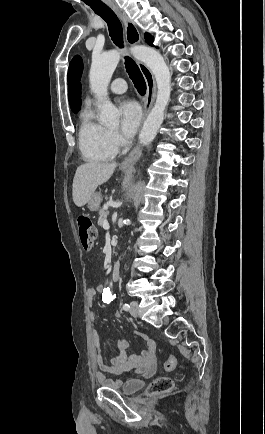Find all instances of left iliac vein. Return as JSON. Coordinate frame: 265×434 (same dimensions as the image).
<instances>
[{"label":"left iliac vein","instance_id":"1","mask_svg":"<svg viewBox=\"0 0 265 434\" xmlns=\"http://www.w3.org/2000/svg\"><path fill=\"white\" fill-rule=\"evenodd\" d=\"M131 308H130V313L133 317H139V303L136 301H132L130 303Z\"/></svg>","mask_w":265,"mask_h":434}]
</instances>
